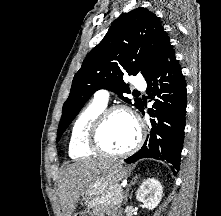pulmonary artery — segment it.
<instances>
[{"label": "pulmonary artery", "instance_id": "pulmonary-artery-1", "mask_svg": "<svg viewBox=\"0 0 221 216\" xmlns=\"http://www.w3.org/2000/svg\"><path fill=\"white\" fill-rule=\"evenodd\" d=\"M134 86L138 89H144L146 87L145 80L137 78L134 82ZM95 100L107 104L109 101V93L106 90H99L95 93Z\"/></svg>", "mask_w": 221, "mask_h": 216}]
</instances>
